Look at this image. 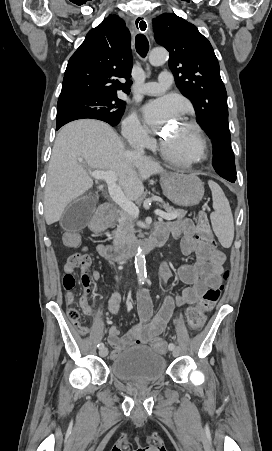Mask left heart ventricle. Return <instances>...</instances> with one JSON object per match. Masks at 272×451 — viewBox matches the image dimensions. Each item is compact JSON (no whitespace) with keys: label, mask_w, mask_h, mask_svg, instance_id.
I'll return each instance as SVG.
<instances>
[{"label":"left heart ventricle","mask_w":272,"mask_h":451,"mask_svg":"<svg viewBox=\"0 0 272 451\" xmlns=\"http://www.w3.org/2000/svg\"><path fill=\"white\" fill-rule=\"evenodd\" d=\"M168 141L175 149H179L183 154H190L193 151L194 143L192 133L184 124L176 126Z\"/></svg>","instance_id":"left-heart-ventricle-1"}]
</instances>
